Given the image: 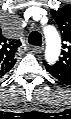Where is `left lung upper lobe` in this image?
Returning <instances> with one entry per match:
<instances>
[{"label": "left lung upper lobe", "mask_w": 71, "mask_h": 119, "mask_svg": "<svg viewBox=\"0 0 71 119\" xmlns=\"http://www.w3.org/2000/svg\"><path fill=\"white\" fill-rule=\"evenodd\" d=\"M51 14L59 26L64 43L59 61L54 65L44 62V65L71 72V6H64L57 11L52 9Z\"/></svg>", "instance_id": "1"}]
</instances>
